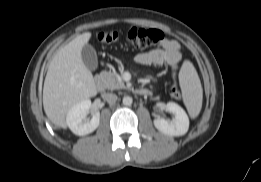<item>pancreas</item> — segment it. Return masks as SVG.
I'll return each mask as SVG.
<instances>
[{
	"mask_svg": "<svg viewBox=\"0 0 261 182\" xmlns=\"http://www.w3.org/2000/svg\"><path fill=\"white\" fill-rule=\"evenodd\" d=\"M100 77L104 82L105 88H107L108 90H117V89L126 88L124 82L116 72L103 71L100 73Z\"/></svg>",
	"mask_w": 261,
	"mask_h": 182,
	"instance_id": "1",
	"label": "pancreas"
}]
</instances>
